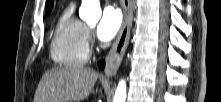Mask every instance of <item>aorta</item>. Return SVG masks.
I'll return each mask as SVG.
<instances>
[{"instance_id": "762f6f07", "label": "aorta", "mask_w": 221, "mask_h": 102, "mask_svg": "<svg viewBox=\"0 0 221 102\" xmlns=\"http://www.w3.org/2000/svg\"><path fill=\"white\" fill-rule=\"evenodd\" d=\"M79 16L87 22H97L101 17L99 0H82ZM127 86L125 80H121L117 86L113 102H125Z\"/></svg>"}]
</instances>
